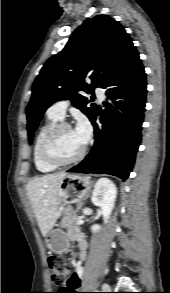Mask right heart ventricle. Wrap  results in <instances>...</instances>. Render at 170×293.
Instances as JSON below:
<instances>
[{"instance_id": "obj_1", "label": "right heart ventricle", "mask_w": 170, "mask_h": 293, "mask_svg": "<svg viewBox=\"0 0 170 293\" xmlns=\"http://www.w3.org/2000/svg\"><path fill=\"white\" fill-rule=\"evenodd\" d=\"M59 121L58 118L51 116L48 114L46 121L41 125L36 135L34 146H33V159L34 164L40 172L48 173L54 171L57 167L46 163L40 155V145L41 141L46 134V132L57 122Z\"/></svg>"}]
</instances>
